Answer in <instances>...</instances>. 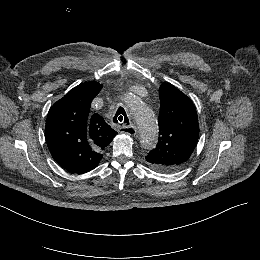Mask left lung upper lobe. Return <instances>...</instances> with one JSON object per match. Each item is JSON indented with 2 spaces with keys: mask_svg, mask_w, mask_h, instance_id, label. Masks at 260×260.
Returning a JSON list of instances; mask_svg holds the SVG:
<instances>
[{
  "mask_svg": "<svg viewBox=\"0 0 260 260\" xmlns=\"http://www.w3.org/2000/svg\"><path fill=\"white\" fill-rule=\"evenodd\" d=\"M159 138L145 158L148 166L175 172L189 161L199 137V124L192 101L169 83L160 86Z\"/></svg>",
  "mask_w": 260,
  "mask_h": 260,
  "instance_id": "1",
  "label": "left lung upper lobe"
}]
</instances>
